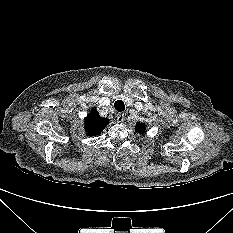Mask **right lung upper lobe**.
I'll list each match as a JSON object with an SVG mask.
<instances>
[{
    "mask_svg": "<svg viewBox=\"0 0 233 233\" xmlns=\"http://www.w3.org/2000/svg\"><path fill=\"white\" fill-rule=\"evenodd\" d=\"M109 120L99 116L98 112L93 109L91 113L85 118V129L87 135L95 136L100 134L108 125Z\"/></svg>",
    "mask_w": 233,
    "mask_h": 233,
    "instance_id": "cb5924a9",
    "label": "right lung upper lobe"
}]
</instances>
